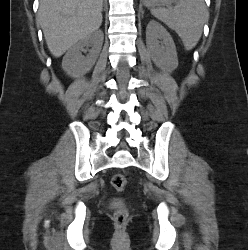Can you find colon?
I'll return each mask as SVG.
<instances>
[{
	"label": "colon",
	"mask_w": 248,
	"mask_h": 250,
	"mask_svg": "<svg viewBox=\"0 0 248 250\" xmlns=\"http://www.w3.org/2000/svg\"><path fill=\"white\" fill-rule=\"evenodd\" d=\"M111 185L116 191L122 192L126 188L127 179L123 174H115L111 178ZM126 218L127 212L125 210H119L114 215V219L118 224H123Z\"/></svg>",
	"instance_id": "obj_1"
}]
</instances>
